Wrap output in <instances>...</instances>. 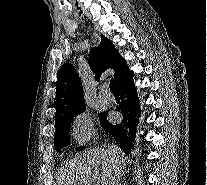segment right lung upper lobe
<instances>
[{
    "mask_svg": "<svg viewBox=\"0 0 207 185\" xmlns=\"http://www.w3.org/2000/svg\"><path fill=\"white\" fill-rule=\"evenodd\" d=\"M89 65L95 73L97 81L107 68L114 70L116 83L132 74L126 61L119 55L113 43L103 35L101 44L89 53ZM85 108L80 77L73 65L65 64L57 74L55 127L68 124L74 116L82 113Z\"/></svg>",
    "mask_w": 207,
    "mask_h": 185,
    "instance_id": "obj_1",
    "label": "right lung upper lobe"
}]
</instances>
